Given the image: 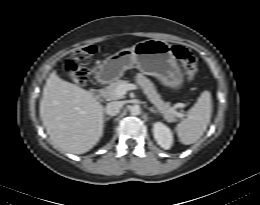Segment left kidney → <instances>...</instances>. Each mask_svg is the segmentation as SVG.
Returning a JSON list of instances; mask_svg holds the SVG:
<instances>
[{
	"instance_id": "5707ae66",
	"label": "left kidney",
	"mask_w": 260,
	"mask_h": 205,
	"mask_svg": "<svg viewBox=\"0 0 260 205\" xmlns=\"http://www.w3.org/2000/svg\"><path fill=\"white\" fill-rule=\"evenodd\" d=\"M153 135L157 143L168 150L173 144V136L171 130L161 122H156L153 125Z\"/></svg>"
}]
</instances>
